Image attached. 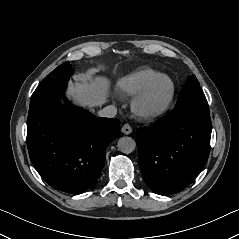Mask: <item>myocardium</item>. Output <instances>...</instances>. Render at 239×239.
Masks as SVG:
<instances>
[{
    "mask_svg": "<svg viewBox=\"0 0 239 239\" xmlns=\"http://www.w3.org/2000/svg\"><path fill=\"white\" fill-rule=\"evenodd\" d=\"M161 80H166L169 83V92L165 99L154 107H146L145 102L153 89V87ZM176 88L173 80L166 74H158L150 83L146 85L131 102L132 111L141 119L151 120L163 115L170 107Z\"/></svg>",
    "mask_w": 239,
    "mask_h": 239,
    "instance_id": "f54148a6",
    "label": "myocardium"
}]
</instances>
